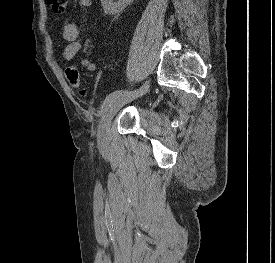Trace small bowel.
Segmentation results:
<instances>
[{
	"label": "small bowel",
	"instance_id": "obj_1",
	"mask_svg": "<svg viewBox=\"0 0 275 263\" xmlns=\"http://www.w3.org/2000/svg\"><path fill=\"white\" fill-rule=\"evenodd\" d=\"M91 4V0H78L79 7L83 9L89 8ZM63 38L67 42L64 50V59L66 61L73 60L80 53L85 54L92 43L91 38L83 42L79 39V28L74 22H68L64 25ZM80 65L89 72H94L97 69L95 63L87 58L81 59Z\"/></svg>",
	"mask_w": 275,
	"mask_h": 263
}]
</instances>
